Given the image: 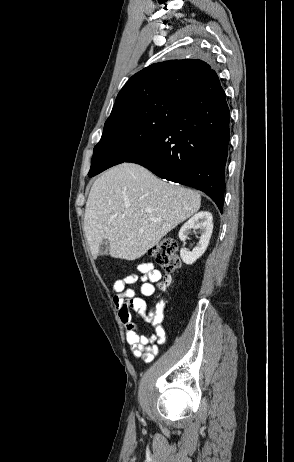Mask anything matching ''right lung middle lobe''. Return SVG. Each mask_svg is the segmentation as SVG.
<instances>
[{"instance_id": "obj_1", "label": "right lung middle lobe", "mask_w": 294, "mask_h": 462, "mask_svg": "<svg viewBox=\"0 0 294 462\" xmlns=\"http://www.w3.org/2000/svg\"><path fill=\"white\" fill-rule=\"evenodd\" d=\"M185 101L184 95L169 93L111 113L94 148L92 172L125 162L174 119Z\"/></svg>"}]
</instances>
